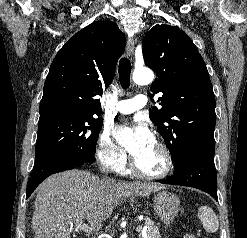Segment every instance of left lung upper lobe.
<instances>
[{"instance_id":"5c2ea615","label":"left lung upper lobe","mask_w":247,"mask_h":238,"mask_svg":"<svg viewBox=\"0 0 247 238\" xmlns=\"http://www.w3.org/2000/svg\"><path fill=\"white\" fill-rule=\"evenodd\" d=\"M145 64L157 78L151 85L162 108L151 121L162 135L175 169L184 155L214 157L215 96L206 64L190 37L176 26L155 25L143 37Z\"/></svg>"}]
</instances>
